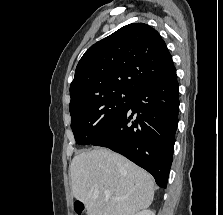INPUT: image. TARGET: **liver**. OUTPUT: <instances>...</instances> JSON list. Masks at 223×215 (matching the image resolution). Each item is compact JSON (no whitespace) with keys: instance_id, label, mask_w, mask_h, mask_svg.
Returning <instances> with one entry per match:
<instances>
[{"instance_id":"obj_1","label":"liver","mask_w":223,"mask_h":215,"mask_svg":"<svg viewBox=\"0 0 223 215\" xmlns=\"http://www.w3.org/2000/svg\"><path fill=\"white\" fill-rule=\"evenodd\" d=\"M70 171L72 193L85 203L87 215H133L153 201L152 175L105 147L75 155ZM105 189L124 199H107Z\"/></svg>"}]
</instances>
